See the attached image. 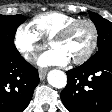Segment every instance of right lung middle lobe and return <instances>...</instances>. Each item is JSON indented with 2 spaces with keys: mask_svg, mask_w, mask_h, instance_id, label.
<instances>
[{
  "mask_svg": "<svg viewBox=\"0 0 112 112\" xmlns=\"http://www.w3.org/2000/svg\"><path fill=\"white\" fill-rule=\"evenodd\" d=\"M27 18L23 15H0V59L20 56L14 45L17 27Z\"/></svg>",
  "mask_w": 112,
  "mask_h": 112,
  "instance_id": "right-lung-middle-lobe-1",
  "label": "right lung middle lobe"
}]
</instances>
